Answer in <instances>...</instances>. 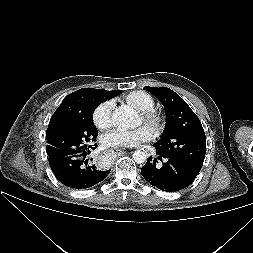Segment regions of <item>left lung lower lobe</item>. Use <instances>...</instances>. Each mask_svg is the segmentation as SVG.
I'll use <instances>...</instances> for the list:
<instances>
[{
  "label": "left lung lower lobe",
  "instance_id": "1",
  "mask_svg": "<svg viewBox=\"0 0 253 253\" xmlns=\"http://www.w3.org/2000/svg\"><path fill=\"white\" fill-rule=\"evenodd\" d=\"M156 154L162 161V166L156 165V158L152 160V157H149L141 169L142 176L152 186L166 192H175L188 187L198 175L179 161Z\"/></svg>",
  "mask_w": 253,
  "mask_h": 253
}]
</instances>
